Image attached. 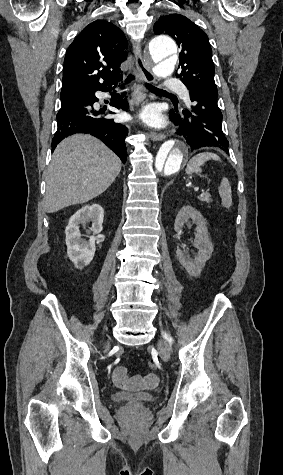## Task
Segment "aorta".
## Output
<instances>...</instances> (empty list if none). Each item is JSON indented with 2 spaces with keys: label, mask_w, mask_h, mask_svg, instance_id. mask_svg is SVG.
Here are the masks:
<instances>
[{
  "label": "aorta",
  "mask_w": 283,
  "mask_h": 475,
  "mask_svg": "<svg viewBox=\"0 0 283 475\" xmlns=\"http://www.w3.org/2000/svg\"><path fill=\"white\" fill-rule=\"evenodd\" d=\"M149 51L155 66L157 76L165 78L174 71L177 58L176 43L168 36H158L149 43ZM189 155V147L183 140L171 139L165 141L159 148L151 169L154 185L164 183L177 174Z\"/></svg>",
  "instance_id": "aorta-1"
}]
</instances>
